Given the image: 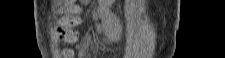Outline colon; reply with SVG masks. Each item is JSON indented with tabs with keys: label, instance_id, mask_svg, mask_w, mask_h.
I'll return each instance as SVG.
<instances>
[{
	"label": "colon",
	"instance_id": "1",
	"mask_svg": "<svg viewBox=\"0 0 225 58\" xmlns=\"http://www.w3.org/2000/svg\"><path fill=\"white\" fill-rule=\"evenodd\" d=\"M78 11V8L74 6L73 1H61V20L57 32L59 40L70 43L76 39L73 28L79 22V18L76 16ZM69 55V53L65 54L66 57Z\"/></svg>",
	"mask_w": 225,
	"mask_h": 58
}]
</instances>
